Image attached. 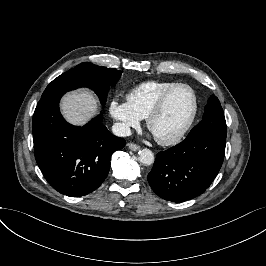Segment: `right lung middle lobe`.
I'll list each match as a JSON object with an SVG mask.
<instances>
[{
	"instance_id": "dd1d6c3e",
	"label": "right lung middle lobe",
	"mask_w": 266,
	"mask_h": 266,
	"mask_svg": "<svg viewBox=\"0 0 266 266\" xmlns=\"http://www.w3.org/2000/svg\"><path fill=\"white\" fill-rule=\"evenodd\" d=\"M121 71L84 62L54 79L45 89L42 97L58 91H70L79 87L92 89L104 105L109 86L121 77Z\"/></svg>"
}]
</instances>
